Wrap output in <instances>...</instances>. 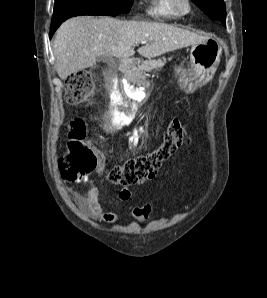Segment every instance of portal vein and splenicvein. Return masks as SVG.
Returning a JSON list of instances; mask_svg holds the SVG:
<instances>
[{"label": "portal vein and splenic vein", "mask_w": 267, "mask_h": 298, "mask_svg": "<svg viewBox=\"0 0 267 298\" xmlns=\"http://www.w3.org/2000/svg\"><path fill=\"white\" fill-rule=\"evenodd\" d=\"M147 43V41L145 40V41H141V44H146Z\"/></svg>", "instance_id": "portal-vein-and-splenic-vein-1"}]
</instances>
